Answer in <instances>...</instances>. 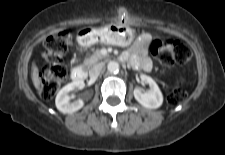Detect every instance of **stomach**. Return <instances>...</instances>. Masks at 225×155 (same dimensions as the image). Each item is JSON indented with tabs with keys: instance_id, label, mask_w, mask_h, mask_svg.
Returning <instances> with one entry per match:
<instances>
[{
	"instance_id": "stomach-1",
	"label": "stomach",
	"mask_w": 225,
	"mask_h": 155,
	"mask_svg": "<svg viewBox=\"0 0 225 155\" xmlns=\"http://www.w3.org/2000/svg\"><path fill=\"white\" fill-rule=\"evenodd\" d=\"M134 40L132 30L122 24H110L100 29H81L78 31V41L82 46L95 43L126 47Z\"/></svg>"
}]
</instances>
